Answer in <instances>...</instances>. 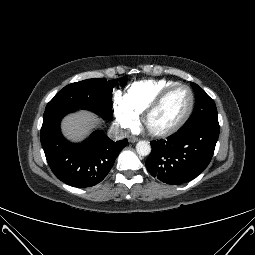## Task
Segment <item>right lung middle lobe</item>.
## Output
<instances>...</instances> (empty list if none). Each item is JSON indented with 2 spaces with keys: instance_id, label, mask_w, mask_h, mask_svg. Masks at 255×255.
Returning <instances> with one entry per match:
<instances>
[{
  "instance_id": "dd1d6c3e",
  "label": "right lung middle lobe",
  "mask_w": 255,
  "mask_h": 255,
  "mask_svg": "<svg viewBox=\"0 0 255 255\" xmlns=\"http://www.w3.org/2000/svg\"><path fill=\"white\" fill-rule=\"evenodd\" d=\"M114 81L104 78L87 79L72 83L60 90L47 104L45 112L53 109H85L93 111L104 119L112 115V90Z\"/></svg>"
}]
</instances>
